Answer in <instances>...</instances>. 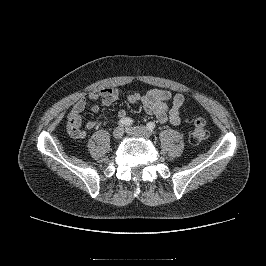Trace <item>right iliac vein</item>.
<instances>
[{
  "label": "right iliac vein",
  "mask_w": 266,
  "mask_h": 266,
  "mask_svg": "<svg viewBox=\"0 0 266 266\" xmlns=\"http://www.w3.org/2000/svg\"><path fill=\"white\" fill-rule=\"evenodd\" d=\"M113 137L115 139H120L123 135H124V130L122 127H117L113 130V133H112Z\"/></svg>",
  "instance_id": "obj_1"
}]
</instances>
